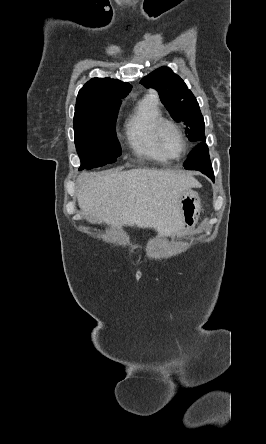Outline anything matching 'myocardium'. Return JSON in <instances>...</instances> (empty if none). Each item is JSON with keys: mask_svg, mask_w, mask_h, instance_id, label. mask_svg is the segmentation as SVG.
<instances>
[{"mask_svg": "<svg viewBox=\"0 0 266 444\" xmlns=\"http://www.w3.org/2000/svg\"><path fill=\"white\" fill-rule=\"evenodd\" d=\"M166 125H170V126H172V127L177 131V133H178V135H179V137H180V139H181V151H180L179 155H177V156H178V157H179V156H182V155L185 153L186 149H187V140H186L185 134H184V132L182 131V129H181V127L179 126V124H178L177 122H175L174 120H171V119L162 118V119L159 120V121L157 122V124L155 125V128H154V140H155V144H156L158 150H159L164 156H166V157L170 156V155H168V154L166 153V151L164 150V148H163V146H162V144H161V140H160V136H161L162 129H163L164 126H166Z\"/></svg>", "mask_w": 266, "mask_h": 444, "instance_id": "f54148a6", "label": "myocardium"}]
</instances>
